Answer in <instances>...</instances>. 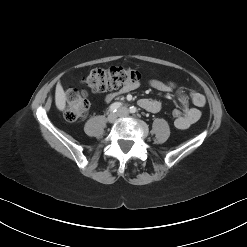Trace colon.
I'll list each match as a JSON object with an SVG mask.
<instances>
[{
    "label": "colon",
    "instance_id": "5ec220e1",
    "mask_svg": "<svg viewBox=\"0 0 247 247\" xmlns=\"http://www.w3.org/2000/svg\"><path fill=\"white\" fill-rule=\"evenodd\" d=\"M140 79L141 73L139 71L128 67L114 66L107 69L91 70L81 83L94 92H104L138 83ZM66 100L64 118L68 122H75L87 115L89 101L85 90L69 87L66 90ZM172 116L177 120L182 116V112L179 109H174Z\"/></svg>",
    "mask_w": 247,
    "mask_h": 247
}]
</instances>
